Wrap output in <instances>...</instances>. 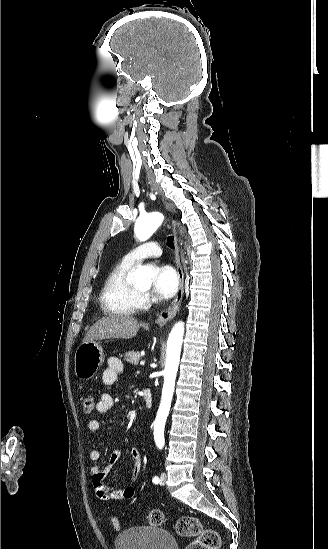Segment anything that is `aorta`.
Listing matches in <instances>:
<instances>
[{
    "mask_svg": "<svg viewBox=\"0 0 328 549\" xmlns=\"http://www.w3.org/2000/svg\"><path fill=\"white\" fill-rule=\"evenodd\" d=\"M163 220L164 216L159 212H152L139 217L134 227L136 237L140 241L148 240L162 224ZM152 277L153 270L147 266L139 267L133 274L134 280L142 285H150L152 283ZM183 335L184 324L183 322H178L172 328L167 341L166 363L163 371L164 384L161 402L154 421V439L157 447L160 449H162L165 444L164 427L171 407Z\"/></svg>",
    "mask_w": 328,
    "mask_h": 549,
    "instance_id": "1",
    "label": "aorta"
}]
</instances>
